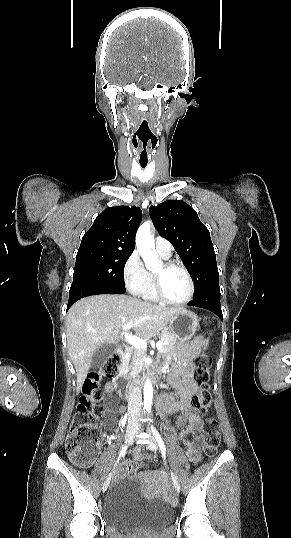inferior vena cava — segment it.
I'll list each match as a JSON object with an SVG mask.
<instances>
[{
    "instance_id": "inferior-vena-cava-1",
    "label": "inferior vena cava",
    "mask_w": 291,
    "mask_h": 538,
    "mask_svg": "<svg viewBox=\"0 0 291 538\" xmlns=\"http://www.w3.org/2000/svg\"><path fill=\"white\" fill-rule=\"evenodd\" d=\"M142 395L139 386L136 384L128 398L129 421L137 423L141 412Z\"/></svg>"
}]
</instances>
